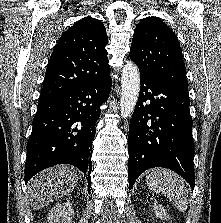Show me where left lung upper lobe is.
I'll list each match as a JSON object with an SVG mask.
<instances>
[{"instance_id":"1","label":"left lung upper lobe","mask_w":221,"mask_h":223,"mask_svg":"<svg viewBox=\"0 0 221 223\" xmlns=\"http://www.w3.org/2000/svg\"><path fill=\"white\" fill-rule=\"evenodd\" d=\"M129 55L140 74L188 90L180 44L160 18L151 16L140 21Z\"/></svg>"}]
</instances>
